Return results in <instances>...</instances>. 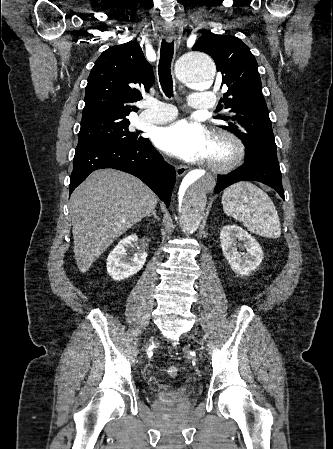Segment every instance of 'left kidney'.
<instances>
[{
    "instance_id": "obj_1",
    "label": "left kidney",
    "mask_w": 333,
    "mask_h": 449,
    "mask_svg": "<svg viewBox=\"0 0 333 449\" xmlns=\"http://www.w3.org/2000/svg\"><path fill=\"white\" fill-rule=\"evenodd\" d=\"M220 242L224 257L238 275H248L263 259L262 248L256 239L237 225L225 226L220 232Z\"/></svg>"
}]
</instances>
